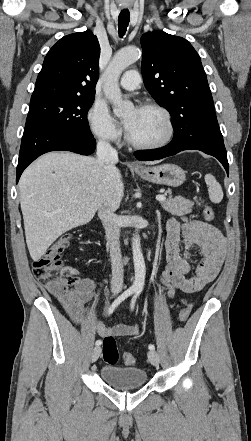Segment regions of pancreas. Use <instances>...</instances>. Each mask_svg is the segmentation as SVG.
I'll return each instance as SVG.
<instances>
[{
    "instance_id": "1",
    "label": "pancreas",
    "mask_w": 251,
    "mask_h": 441,
    "mask_svg": "<svg viewBox=\"0 0 251 441\" xmlns=\"http://www.w3.org/2000/svg\"><path fill=\"white\" fill-rule=\"evenodd\" d=\"M166 193L169 194V198L161 202V205L165 211L176 216H183L192 212L194 202L183 197L172 198L170 190H168Z\"/></svg>"
}]
</instances>
